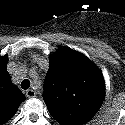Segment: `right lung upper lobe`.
Returning a JSON list of instances; mask_svg holds the SVG:
<instances>
[{
    "label": "right lung upper lobe",
    "instance_id": "obj_1",
    "mask_svg": "<svg viewBox=\"0 0 125 125\" xmlns=\"http://www.w3.org/2000/svg\"><path fill=\"white\" fill-rule=\"evenodd\" d=\"M7 63L6 56L0 58V125L13 117L20 103L25 100L20 89L11 84V77L6 69Z\"/></svg>",
    "mask_w": 125,
    "mask_h": 125
}]
</instances>
